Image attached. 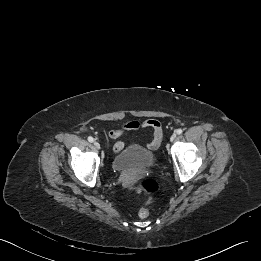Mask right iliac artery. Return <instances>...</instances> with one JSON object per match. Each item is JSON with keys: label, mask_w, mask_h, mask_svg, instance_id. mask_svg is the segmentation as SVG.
Instances as JSON below:
<instances>
[{"label": "right iliac artery", "mask_w": 261, "mask_h": 261, "mask_svg": "<svg viewBox=\"0 0 261 261\" xmlns=\"http://www.w3.org/2000/svg\"><path fill=\"white\" fill-rule=\"evenodd\" d=\"M88 141H89V142H93V141H94V138L90 136V137H88Z\"/></svg>", "instance_id": "obj_1"}]
</instances>
